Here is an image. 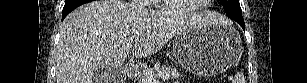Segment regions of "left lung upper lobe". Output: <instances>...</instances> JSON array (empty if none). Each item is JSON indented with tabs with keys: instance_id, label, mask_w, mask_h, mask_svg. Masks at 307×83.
Here are the masks:
<instances>
[{
	"instance_id": "obj_1",
	"label": "left lung upper lobe",
	"mask_w": 307,
	"mask_h": 83,
	"mask_svg": "<svg viewBox=\"0 0 307 83\" xmlns=\"http://www.w3.org/2000/svg\"><path fill=\"white\" fill-rule=\"evenodd\" d=\"M222 4L226 15L235 20L236 22H243L244 20L241 17V7L238 0H219Z\"/></svg>"
}]
</instances>
